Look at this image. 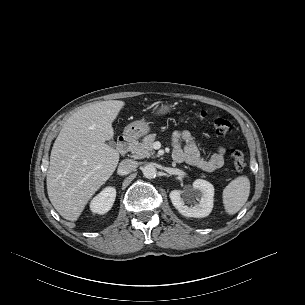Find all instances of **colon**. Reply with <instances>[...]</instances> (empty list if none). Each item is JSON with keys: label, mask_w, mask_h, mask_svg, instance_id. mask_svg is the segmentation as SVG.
Segmentation results:
<instances>
[{"label": "colon", "mask_w": 305, "mask_h": 305, "mask_svg": "<svg viewBox=\"0 0 305 305\" xmlns=\"http://www.w3.org/2000/svg\"><path fill=\"white\" fill-rule=\"evenodd\" d=\"M193 115L199 122L206 121L208 117L204 110H195ZM210 123L215 133L219 136H226L231 132V123L227 119L217 117L213 118ZM230 154L234 161L236 174H241L246 166L243 152L239 149L232 148Z\"/></svg>", "instance_id": "1"}]
</instances>
